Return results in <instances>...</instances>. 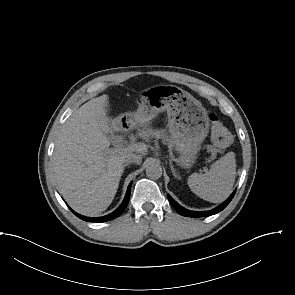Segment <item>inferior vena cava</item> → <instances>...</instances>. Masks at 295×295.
<instances>
[{
  "mask_svg": "<svg viewBox=\"0 0 295 295\" xmlns=\"http://www.w3.org/2000/svg\"><path fill=\"white\" fill-rule=\"evenodd\" d=\"M141 160H142L141 155L128 153L127 155L124 156L123 163L124 164H130V163L140 164Z\"/></svg>",
  "mask_w": 295,
  "mask_h": 295,
  "instance_id": "inferior-vena-cava-1",
  "label": "inferior vena cava"
}]
</instances>
